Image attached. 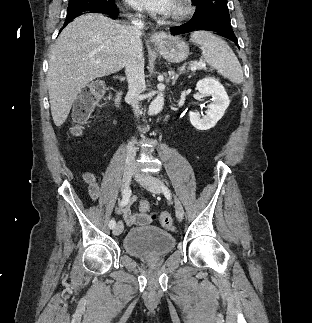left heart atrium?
<instances>
[{"label":"left heart atrium","instance_id":"1","mask_svg":"<svg viewBox=\"0 0 312 323\" xmlns=\"http://www.w3.org/2000/svg\"><path fill=\"white\" fill-rule=\"evenodd\" d=\"M130 8L136 12H171L174 7L172 0H126Z\"/></svg>","mask_w":312,"mask_h":323}]
</instances>
